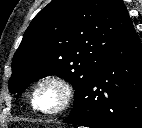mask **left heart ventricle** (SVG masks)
<instances>
[{
  "label": "left heart ventricle",
  "instance_id": "1",
  "mask_svg": "<svg viewBox=\"0 0 142 128\" xmlns=\"http://www.w3.org/2000/svg\"><path fill=\"white\" fill-rule=\"evenodd\" d=\"M61 98L60 90L54 85H48L40 95V105L45 110H52L58 107Z\"/></svg>",
  "mask_w": 142,
  "mask_h": 128
}]
</instances>
